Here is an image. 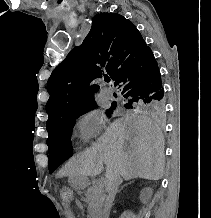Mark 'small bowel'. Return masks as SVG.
<instances>
[{"label":"small bowel","instance_id":"obj_1","mask_svg":"<svg viewBox=\"0 0 211 218\" xmlns=\"http://www.w3.org/2000/svg\"><path fill=\"white\" fill-rule=\"evenodd\" d=\"M76 205H77L78 207H81V204H80V203H78V202H76Z\"/></svg>","mask_w":211,"mask_h":218}]
</instances>
